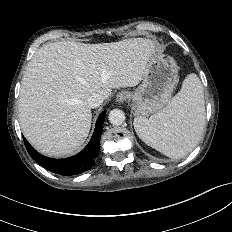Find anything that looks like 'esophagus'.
I'll use <instances>...</instances> for the list:
<instances>
[{
	"mask_svg": "<svg viewBox=\"0 0 232 232\" xmlns=\"http://www.w3.org/2000/svg\"><path fill=\"white\" fill-rule=\"evenodd\" d=\"M129 97H130L129 92H127V91H121V92H119L117 94L116 101L118 103L122 104V103L126 102L129 99Z\"/></svg>",
	"mask_w": 232,
	"mask_h": 232,
	"instance_id": "obj_1",
	"label": "esophagus"
}]
</instances>
